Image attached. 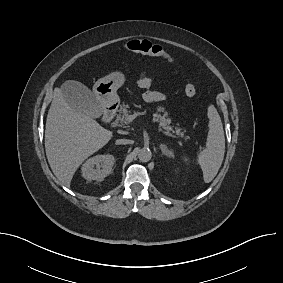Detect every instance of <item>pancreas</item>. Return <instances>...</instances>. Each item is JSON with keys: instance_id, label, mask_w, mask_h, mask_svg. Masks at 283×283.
Returning <instances> with one entry per match:
<instances>
[{"instance_id": "1", "label": "pancreas", "mask_w": 283, "mask_h": 283, "mask_svg": "<svg viewBox=\"0 0 283 283\" xmlns=\"http://www.w3.org/2000/svg\"><path fill=\"white\" fill-rule=\"evenodd\" d=\"M129 105L128 104H123L121 105L119 109V114L117 115L116 118V123L119 126L126 125L128 123L127 118L129 116L130 111L128 110ZM163 111L162 107L157 108V112L153 114V120L159 123V126L163 128L167 133H176L178 136L183 137L184 132H182L179 127L173 128L171 126V119L168 117V113L164 112V114H161L160 112Z\"/></svg>"}]
</instances>
